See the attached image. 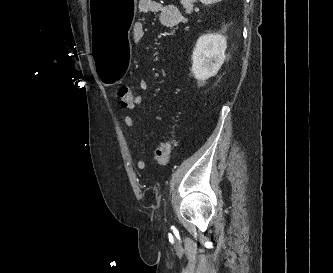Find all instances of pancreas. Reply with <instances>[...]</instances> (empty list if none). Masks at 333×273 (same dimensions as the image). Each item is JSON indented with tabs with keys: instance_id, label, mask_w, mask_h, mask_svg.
Wrapping results in <instances>:
<instances>
[{
	"instance_id": "obj_1",
	"label": "pancreas",
	"mask_w": 333,
	"mask_h": 273,
	"mask_svg": "<svg viewBox=\"0 0 333 273\" xmlns=\"http://www.w3.org/2000/svg\"><path fill=\"white\" fill-rule=\"evenodd\" d=\"M195 0H181V4L186 9V13L190 14L193 11V3Z\"/></svg>"
}]
</instances>
